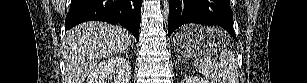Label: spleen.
Returning <instances> with one entry per match:
<instances>
[{"instance_id":"1","label":"spleen","mask_w":307,"mask_h":83,"mask_svg":"<svg viewBox=\"0 0 307 83\" xmlns=\"http://www.w3.org/2000/svg\"><path fill=\"white\" fill-rule=\"evenodd\" d=\"M219 32H224L219 29ZM195 69L212 80L213 83H239L238 65L236 58L229 48L224 47L219 56V62L208 55L192 57Z\"/></svg>"}]
</instances>
